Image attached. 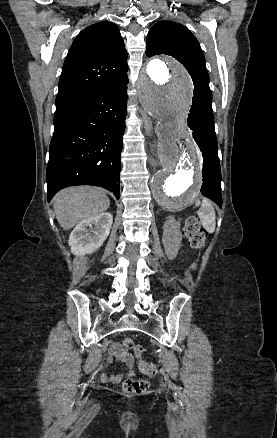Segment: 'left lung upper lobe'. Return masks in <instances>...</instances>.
<instances>
[{
  "instance_id": "obj_1",
  "label": "left lung upper lobe",
  "mask_w": 277,
  "mask_h": 438,
  "mask_svg": "<svg viewBox=\"0 0 277 438\" xmlns=\"http://www.w3.org/2000/svg\"><path fill=\"white\" fill-rule=\"evenodd\" d=\"M166 54L175 57L187 69L194 83L193 105L211 108L212 94L205 57L187 27L172 21H160L148 32L146 55Z\"/></svg>"
}]
</instances>
